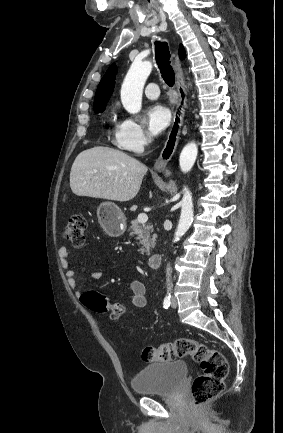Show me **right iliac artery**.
<instances>
[{
    "label": "right iliac artery",
    "mask_w": 283,
    "mask_h": 433,
    "mask_svg": "<svg viewBox=\"0 0 283 433\" xmlns=\"http://www.w3.org/2000/svg\"><path fill=\"white\" fill-rule=\"evenodd\" d=\"M170 299H171V295H170V294H169L168 296L165 297L164 302H163V307H164L165 309H168V308H169V306H170V304H171Z\"/></svg>",
    "instance_id": "82829eb1"
}]
</instances>
